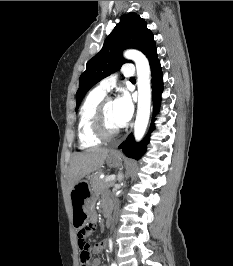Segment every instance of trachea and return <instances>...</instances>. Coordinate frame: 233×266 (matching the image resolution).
<instances>
[{
	"label": "trachea",
	"mask_w": 233,
	"mask_h": 266,
	"mask_svg": "<svg viewBox=\"0 0 233 266\" xmlns=\"http://www.w3.org/2000/svg\"><path fill=\"white\" fill-rule=\"evenodd\" d=\"M131 80H135V78H134V77H132V78H131Z\"/></svg>",
	"instance_id": "3493384b"
}]
</instances>
